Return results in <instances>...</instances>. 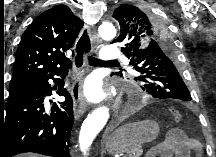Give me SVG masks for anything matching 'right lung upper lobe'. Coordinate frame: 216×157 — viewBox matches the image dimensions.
I'll return each instance as SVG.
<instances>
[{
  "mask_svg": "<svg viewBox=\"0 0 216 157\" xmlns=\"http://www.w3.org/2000/svg\"><path fill=\"white\" fill-rule=\"evenodd\" d=\"M82 26L66 5L55 6L35 18L19 43L9 91L70 65L64 52L72 47Z\"/></svg>",
  "mask_w": 216,
  "mask_h": 157,
  "instance_id": "right-lung-upper-lobe-1",
  "label": "right lung upper lobe"
}]
</instances>
